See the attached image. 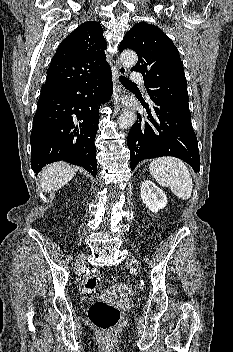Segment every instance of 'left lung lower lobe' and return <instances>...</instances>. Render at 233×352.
I'll return each mask as SVG.
<instances>
[{"label":"left lung lower lobe","instance_id":"1","mask_svg":"<svg viewBox=\"0 0 233 352\" xmlns=\"http://www.w3.org/2000/svg\"><path fill=\"white\" fill-rule=\"evenodd\" d=\"M150 100L151 107L143 99L140 100L148 117L142 118L139 115L128 134L131 170L141 160L173 156L187 162L195 172H199L198 142L189 109L154 96H150Z\"/></svg>","mask_w":233,"mask_h":352}]
</instances>
